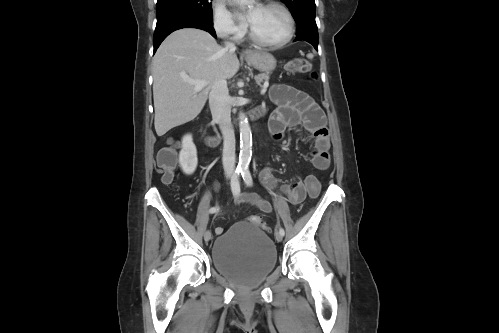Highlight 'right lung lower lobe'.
Here are the masks:
<instances>
[{
  "instance_id": "right-lung-lower-lobe-1",
  "label": "right lung lower lobe",
  "mask_w": 499,
  "mask_h": 333,
  "mask_svg": "<svg viewBox=\"0 0 499 333\" xmlns=\"http://www.w3.org/2000/svg\"><path fill=\"white\" fill-rule=\"evenodd\" d=\"M181 28H198L209 32L214 38H216L215 30L213 28V22H208L199 19H175L165 22L159 26H156L153 46L154 53L161 44V42L173 31Z\"/></svg>"
}]
</instances>
